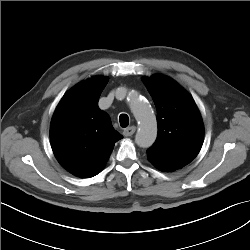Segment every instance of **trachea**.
I'll list each match as a JSON object with an SVG mask.
<instances>
[{
    "label": "trachea",
    "mask_w": 250,
    "mask_h": 250,
    "mask_svg": "<svg viewBox=\"0 0 250 250\" xmlns=\"http://www.w3.org/2000/svg\"><path fill=\"white\" fill-rule=\"evenodd\" d=\"M120 126L125 128L129 125V117L126 114H121L119 116Z\"/></svg>",
    "instance_id": "1"
}]
</instances>
